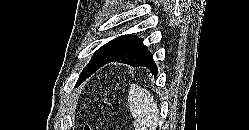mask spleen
Listing matches in <instances>:
<instances>
[{
	"label": "spleen",
	"mask_w": 249,
	"mask_h": 130,
	"mask_svg": "<svg viewBox=\"0 0 249 130\" xmlns=\"http://www.w3.org/2000/svg\"><path fill=\"white\" fill-rule=\"evenodd\" d=\"M129 108L134 117L136 130H155L159 123V110L149 91L132 85L128 97Z\"/></svg>",
	"instance_id": "3e777b00"
}]
</instances>
